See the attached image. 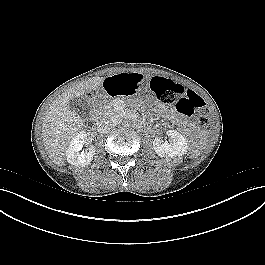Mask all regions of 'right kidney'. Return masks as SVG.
<instances>
[{
    "label": "right kidney",
    "instance_id": "right-kidney-1",
    "mask_svg": "<svg viewBox=\"0 0 265 265\" xmlns=\"http://www.w3.org/2000/svg\"><path fill=\"white\" fill-rule=\"evenodd\" d=\"M87 142V134L85 131H80L70 142L66 156L69 164L77 167H84L93 160L96 148L91 145L86 151H82L83 145Z\"/></svg>",
    "mask_w": 265,
    "mask_h": 265
}]
</instances>
